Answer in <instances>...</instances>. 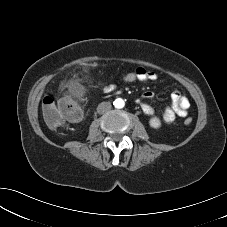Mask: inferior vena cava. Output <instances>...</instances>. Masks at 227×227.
<instances>
[{"label": "inferior vena cava", "instance_id": "602c4592", "mask_svg": "<svg viewBox=\"0 0 227 227\" xmlns=\"http://www.w3.org/2000/svg\"><path fill=\"white\" fill-rule=\"evenodd\" d=\"M112 105L110 102H101L97 107V112L103 114L108 112L111 109Z\"/></svg>", "mask_w": 227, "mask_h": 227}]
</instances>
